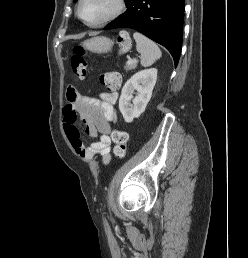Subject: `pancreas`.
<instances>
[{
  "label": "pancreas",
  "mask_w": 248,
  "mask_h": 258,
  "mask_svg": "<svg viewBox=\"0 0 248 258\" xmlns=\"http://www.w3.org/2000/svg\"><path fill=\"white\" fill-rule=\"evenodd\" d=\"M136 67H137V62L136 61H133L131 63L127 62L126 65H125V70L130 71L132 69H135Z\"/></svg>",
  "instance_id": "1"
}]
</instances>
